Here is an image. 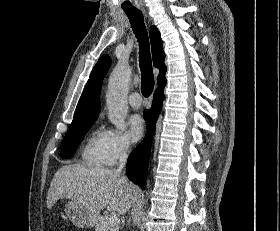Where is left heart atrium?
I'll list each match as a JSON object with an SVG mask.
<instances>
[{
    "instance_id": "obj_1",
    "label": "left heart atrium",
    "mask_w": 280,
    "mask_h": 231,
    "mask_svg": "<svg viewBox=\"0 0 280 231\" xmlns=\"http://www.w3.org/2000/svg\"><path fill=\"white\" fill-rule=\"evenodd\" d=\"M128 135L132 142L139 141L145 133V123L138 114L131 115L128 118Z\"/></svg>"
}]
</instances>
